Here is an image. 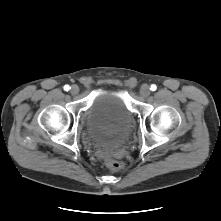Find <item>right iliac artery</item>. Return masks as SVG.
<instances>
[{
    "label": "right iliac artery",
    "mask_w": 221,
    "mask_h": 221,
    "mask_svg": "<svg viewBox=\"0 0 221 221\" xmlns=\"http://www.w3.org/2000/svg\"><path fill=\"white\" fill-rule=\"evenodd\" d=\"M69 89H71V87H70L69 85H65V86H64V90H65V91H68Z\"/></svg>",
    "instance_id": "82829eb1"
}]
</instances>
